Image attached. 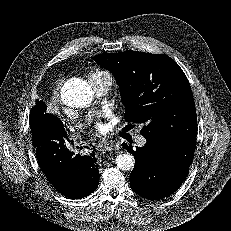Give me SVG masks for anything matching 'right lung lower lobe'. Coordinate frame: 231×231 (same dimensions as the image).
<instances>
[{
	"label": "right lung lower lobe",
	"instance_id": "right-lung-lower-lobe-1",
	"mask_svg": "<svg viewBox=\"0 0 231 231\" xmlns=\"http://www.w3.org/2000/svg\"><path fill=\"white\" fill-rule=\"evenodd\" d=\"M30 127L39 167L59 193L79 199L96 190L99 171L95 150L74 155L62 121L46 110Z\"/></svg>",
	"mask_w": 231,
	"mask_h": 231
}]
</instances>
